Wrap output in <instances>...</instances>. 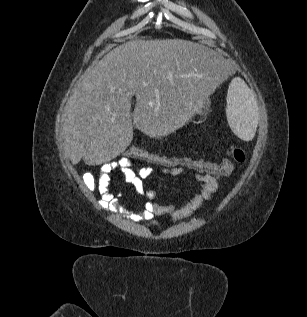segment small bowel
Instances as JSON below:
<instances>
[{
	"instance_id": "obj_1",
	"label": "small bowel",
	"mask_w": 307,
	"mask_h": 317,
	"mask_svg": "<svg viewBox=\"0 0 307 317\" xmlns=\"http://www.w3.org/2000/svg\"><path fill=\"white\" fill-rule=\"evenodd\" d=\"M119 171L131 183L135 189L147 200L143 207L136 211H126L121 209L118 197L110 189L112 173ZM154 172L151 166L138 167L132 162L123 159L105 163L101 166L97 176V190L101 195L99 201L103 209L115 214H122L123 217L133 221L152 220L155 216L170 215L173 220H181L199 209L204 202L210 200L219 186L218 178L211 175L193 172L192 181L197 185V189L192 198L186 203L162 204L155 202L157 195L154 189H145L144 180ZM183 168H163L162 174L175 178L183 174Z\"/></svg>"
}]
</instances>
